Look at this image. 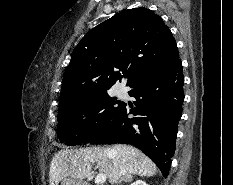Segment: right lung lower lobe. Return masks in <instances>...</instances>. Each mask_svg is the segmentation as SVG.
<instances>
[{
	"label": "right lung lower lobe",
	"instance_id": "right-lung-lower-lobe-1",
	"mask_svg": "<svg viewBox=\"0 0 233 185\" xmlns=\"http://www.w3.org/2000/svg\"><path fill=\"white\" fill-rule=\"evenodd\" d=\"M183 86L179 58L148 71L129 85L133 88L129 94L136 99L135 107L123 103L110 121L86 141L132 144L150 157L166 177L182 116Z\"/></svg>",
	"mask_w": 233,
	"mask_h": 185
}]
</instances>
